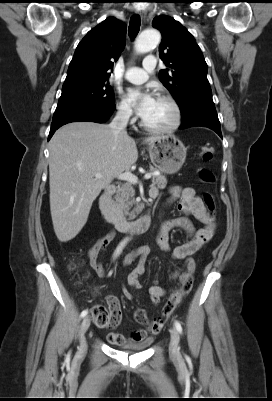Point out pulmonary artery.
Returning a JSON list of instances; mask_svg holds the SVG:
<instances>
[{
	"label": "pulmonary artery",
	"instance_id": "1",
	"mask_svg": "<svg viewBox=\"0 0 272 401\" xmlns=\"http://www.w3.org/2000/svg\"><path fill=\"white\" fill-rule=\"evenodd\" d=\"M155 67H156V59L154 57H147L143 61L142 68L138 67L129 68L125 72L124 77L127 81L131 83L141 84L148 79L149 74L155 69Z\"/></svg>",
	"mask_w": 272,
	"mask_h": 401
}]
</instances>
